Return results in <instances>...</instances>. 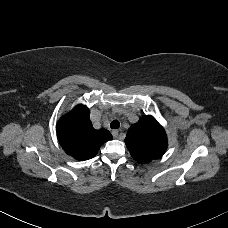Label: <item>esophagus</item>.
<instances>
[{
	"instance_id": "obj_1",
	"label": "esophagus",
	"mask_w": 228,
	"mask_h": 228,
	"mask_svg": "<svg viewBox=\"0 0 228 228\" xmlns=\"http://www.w3.org/2000/svg\"><path fill=\"white\" fill-rule=\"evenodd\" d=\"M112 135H113L114 138H118L119 132L117 130H113L112 131Z\"/></svg>"
}]
</instances>
